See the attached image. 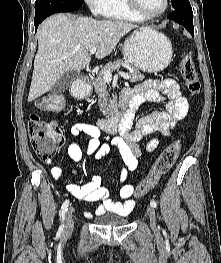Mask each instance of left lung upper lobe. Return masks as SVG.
Returning <instances> with one entry per match:
<instances>
[{
    "instance_id": "5c2ea615",
    "label": "left lung upper lobe",
    "mask_w": 221,
    "mask_h": 263,
    "mask_svg": "<svg viewBox=\"0 0 221 263\" xmlns=\"http://www.w3.org/2000/svg\"><path fill=\"white\" fill-rule=\"evenodd\" d=\"M171 2L175 9L190 5L189 0H171Z\"/></svg>"
}]
</instances>
